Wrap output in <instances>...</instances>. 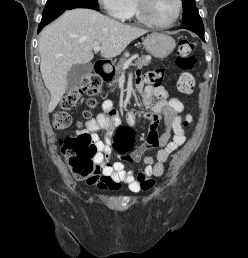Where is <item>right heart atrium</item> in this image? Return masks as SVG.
Instances as JSON below:
<instances>
[{"label":"right heart atrium","instance_id":"obj_1","mask_svg":"<svg viewBox=\"0 0 248 258\" xmlns=\"http://www.w3.org/2000/svg\"><path fill=\"white\" fill-rule=\"evenodd\" d=\"M106 13L115 19H125L131 9V0H98Z\"/></svg>","mask_w":248,"mask_h":258}]
</instances>
